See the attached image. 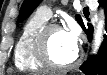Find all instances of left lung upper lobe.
<instances>
[{"label": "left lung upper lobe", "instance_id": "left-lung-upper-lobe-1", "mask_svg": "<svg viewBox=\"0 0 107 75\" xmlns=\"http://www.w3.org/2000/svg\"><path fill=\"white\" fill-rule=\"evenodd\" d=\"M40 2L41 0H24L20 9L18 21L20 22L24 20L26 17H28ZM76 20L81 26L83 25V21L80 15H76Z\"/></svg>", "mask_w": 107, "mask_h": 75}]
</instances>
